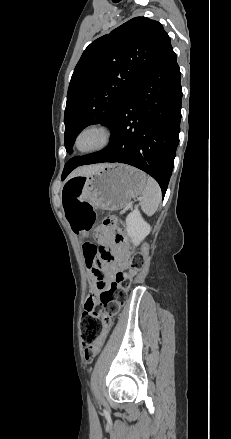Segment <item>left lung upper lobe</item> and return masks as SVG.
<instances>
[{
    "label": "left lung upper lobe",
    "instance_id": "obj_1",
    "mask_svg": "<svg viewBox=\"0 0 231 439\" xmlns=\"http://www.w3.org/2000/svg\"><path fill=\"white\" fill-rule=\"evenodd\" d=\"M172 49L161 23L136 17L93 41L77 63L64 115L67 152L86 126H111L134 86ZM68 172L65 164L62 179Z\"/></svg>",
    "mask_w": 231,
    "mask_h": 439
}]
</instances>
